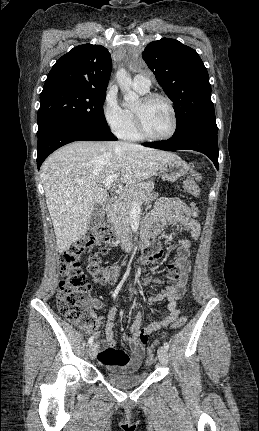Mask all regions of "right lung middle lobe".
Returning a JSON list of instances; mask_svg holds the SVG:
<instances>
[{
    "instance_id": "1",
    "label": "right lung middle lobe",
    "mask_w": 259,
    "mask_h": 431,
    "mask_svg": "<svg viewBox=\"0 0 259 431\" xmlns=\"http://www.w3.org/2000/svg\"><path fill=\"white\" fill-rule=\"evenodd\" d=\"M106 91L72 87H53L41 93L38 129L57 120H76L108 127L103 112Z\"/></svg>"
}]
</instances>
